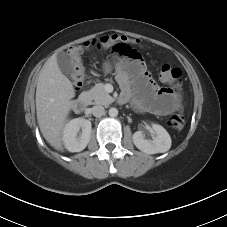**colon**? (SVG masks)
Masks as SVG:
<instances>
[{"mask_svg":"<svg viewBox=\"0 0 227 227\" xmlns=\"http://www.w3.org/2000/svg\"><path fill=\"white\" fill-rule=\"evenodd\" d=\"M132 41L122 35H107L99 40L86 42L82 45H77L69 48L68 56L72 65V78L75 85L79 86L82 81V66L80 55L91 47L110 48L114 54L118 56L130 57L137 55L131 47ZM160 79L172 86L173 91L180 98L182 90L181 71L178 68L172 67L168 63H163L160 67ZM168 125L175 129L181 130L185 125L183 107H179V111L168 119Z\"/></svg>","mask_w":227,"mask_h":227,"instance_id":"5ec220e1","label":"colon"}]
</instances>
